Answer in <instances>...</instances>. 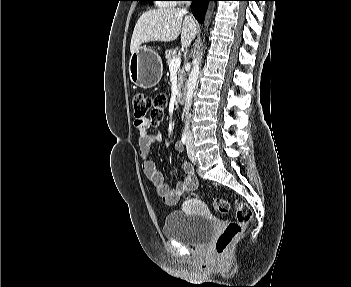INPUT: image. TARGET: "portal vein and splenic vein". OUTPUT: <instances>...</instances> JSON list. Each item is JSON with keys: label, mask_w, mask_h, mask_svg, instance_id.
I'll return each instance as SVG.
<instances>
[{"label": "portal vein and splenic vein", "mask_w": 351, "mask_h": 287, "mask_svg": "<svg viewBox=\"0 0 351 287\" xmlns=\"http://www.w3.org/2000/svg\"><path fill=\"white\" fill-rule=\"evenodd\" d=\"M180 64H181V59L180 57H177V58H174L170 65H169V68L170 69H178L180 67Z\"/></svg>", "instance_id": "portal-vein-and-splenic-vein-1"}]
</instances>
